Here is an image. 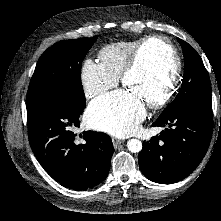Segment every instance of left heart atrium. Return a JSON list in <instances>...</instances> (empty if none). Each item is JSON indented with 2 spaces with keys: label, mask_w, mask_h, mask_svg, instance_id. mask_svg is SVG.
Here are the masks:
<instances>
[{
  "label": "left heart atrium",
  "mask_w": 221,
  "mask_h": 221,
  "mask_svg": "<svg viewBox=\"0 0 221 221\" xmlns=\"http://www.w3.org/2000/svg\"><path fill=\"white\" fill-rule=\"evenodd\" d=\"M145 114V104L126 88L93 101L87 110V121L96 129L126 137L136 131Z\"/></svg>",
  "instance_id": "obj_1"
}]
</instances>
